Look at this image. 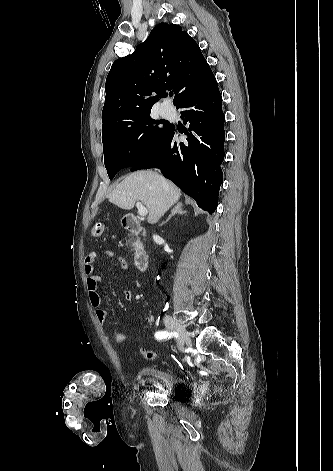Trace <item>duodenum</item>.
I'll return each mask as SVG.
<instances>
[{
  "label": "duodenum",
  "mask_w": 333,
  "mask_h": 471,
  "mask_svg": "<svg viewBox=\"0 0 333 471\" xmlns=\"http://www.w3.org/2000/svg\"><path fill=\"white\" fill-rule=\"evenodd\" d=\"M124 227L136 236L134 243V265L139 272H145L149 265L147 251L140 240L142 227L138 219L133 214H126L123 218Z\"/></svg>",
  "instance_id": "duodenum-1"
}]
</instances>
